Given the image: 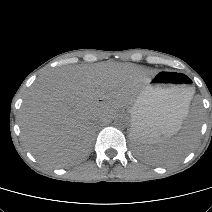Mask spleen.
<instances>
[{"mask_svg":"<svg viewBox=\"0 0 212 212\" xmlns=\"http://www.w3.org/2000/svg\"><path fill=\"white\" fill-rule=\"evenodd\" d=\"M194 89L186 95V105L183 110L184 118L189 112V104L193 97ZM200 124L195 128L185 126L183 131L166 141L154 145H135L136 155L153 165H171L181 161L190 151L198 137Z\"/></svg>","mask_w":212,"mask_h":212,"instance_id":"spleen-1","label":"spleen"}]
</instances>
